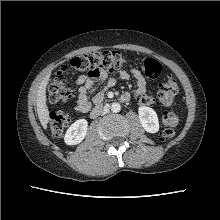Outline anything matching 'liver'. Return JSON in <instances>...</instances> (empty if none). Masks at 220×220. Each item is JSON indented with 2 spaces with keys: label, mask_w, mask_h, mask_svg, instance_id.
<instances>
[{
  "label": "liver",
  "mask_w": 220,
  "mask_h": 220,
  "mask_svg": "<svg viewBox=\"0 0 220 220\" xmlns=\"http://www.w3.org/2000/svg\"><path fill=\"white\" fill-rule=\"evenodd\" d=\"M50 78V74L46 75L45 78L41 81L36 96V106L37 113L40 120V123L44 129L47 128V124L49 121V110L46 104V88Z\"/></svg>",
  "instance_id": "liver-1"
}]
</instances>
